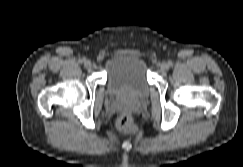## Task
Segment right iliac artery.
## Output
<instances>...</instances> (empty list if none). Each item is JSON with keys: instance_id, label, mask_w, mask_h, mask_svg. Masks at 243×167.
Returning a JSON list of instances; mask_svg holds the SVG:
<instances>
[{"instance_id": "1", "label": "right iliac artery", "mask_w": 243, "mask_h": 167, "mask_svg": "<svg viewBox=\"0 0 243 167\" xmlns=\"http://www.w3.org/2000/svg\"><path fill=\"white\" fill-rule=\"evenodd\" d=\"M85 60H86L85 58H82V59L79 60V62L83 63V62H85Z\"/></svg>"}]
</instances>
